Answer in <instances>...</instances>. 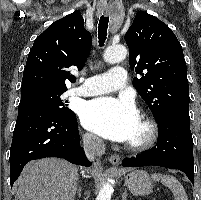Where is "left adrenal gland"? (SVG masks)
<instances>
[{"mask_svg": "<svg viewBox=\"0 0 201 200\" xmlns=\"http://www.w3.org/2000/svg\"><path fill=\"white\" fill-rule=\"evenodd\" d=\"M127 190L124 191L123 195H122V200H127Z\"/></svg>", "mask_w": 201, "mask_h": 200, "instance_id": "left-adrenal-gland-1", "label": "left adrenal gland"}]
</instances>
